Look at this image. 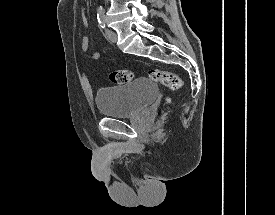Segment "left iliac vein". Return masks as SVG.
I'll return each mask as SVG.
<instances>
[{"instance_id": "obj_1", "label": "left iliac vein", "mask_w": 275, "mask_h": 215, "mask_svg": "<svg viewBox=\"0 0 275 215\" xmlns=\"http://www.w3.org/2000/svg\"><path fill=\"white\" fill-rule=\"evenodd\" d=\"M105 33L107 38L111 41V42H116L117 41V35L116 33L111 30V29H105Z\"/></svg>"}]
</instances>
